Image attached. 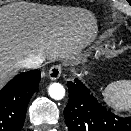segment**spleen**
<instances>
[{
	"mask_svg": "<svg viewBox=\"0 0 131 131\" xmlns=\"http://www.w3.org/2000/svg\"><path fill=\"white\" fill-rule=\"evenodd\" d=\"M104 99L118 110L131 108V80L110 83L103 93Z\"/></svg>",
	"mask_w": 131,
	"mask_h": 131,
	"instance_id": "obj_1",
	"label": "spleen"
}]
</instances>
